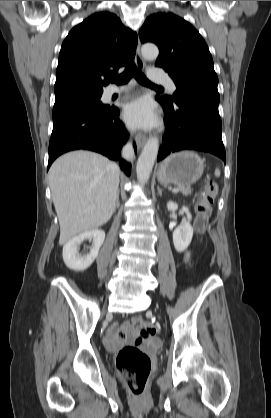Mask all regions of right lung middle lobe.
<instances>
[{
  "instance_id": "1",
  "label": "right lung middle lobe",
  "mask_w": 271,
  "mask_h": 418,
  "mask_svg": "<svg viewBox=\"0 0 271 418\" xmlns=\"http://www.w3.org/2000/svg\"><path fill=\"white\" fill-rule=\"evenodd\" d=\"M101 95L102 94L81 96L55 102L53 107V119L76 111L108 107L100 101Z\"/></svg>"
}]
</instances>
